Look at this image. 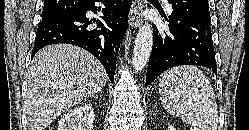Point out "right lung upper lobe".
Returning <instances> with one entry per match:
<instances>
[{"label":"right lung upper lobe","mask_w":249,"mask_h":130,"mask_svg":"<svg viewBox=\"0 0 249 130\" xmlns=\"http://www.w3.org/2000/svg\"><path fill=\"white\" fill-rule=\"evenodd\" d=\"M87 0H44L43 12L74 11L84 5Z\"/></svg>","instance_id":"cb5924a9"}]
</instances>
